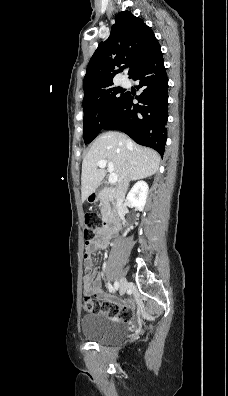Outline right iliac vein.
Returning a JSON list of instances; mask_svg holds the SVG:
<instances>
[{"instance_id": "1", "label": "right iliac vein", "mask_w": 228, "mask_h": 396, "mask_svg": "<svg viewBox=\"0 0 228 396\" xmlns=\"http://www.w3.org/2000/svg\"><path fill=\"white\" fill-rule=\"evenodd\" d=\"M127 280L125 278H121L120 280V286H119V290H120V294L123 295L127 289Z\"/></svg>"}]
</instances>
